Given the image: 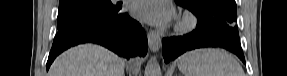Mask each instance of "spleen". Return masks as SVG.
I'll return each mask as SVG.
<instances>
[{
    "instance_id": "spleen-1",
    "label": "spleen",
    "mask_w": 287,
    "mask_h": 76,
    "mask_svg": "<svg viewBox=\"0 0 287 76\" xmlns=\"http://www.w3.org/2000/svg\"><path fill=\"white\" fill-rule=\"evenodd\" d=\"M184 76H245L236 59L223 49H196L182 55L178 63Z\"/></svg>"
}]
</instances>
